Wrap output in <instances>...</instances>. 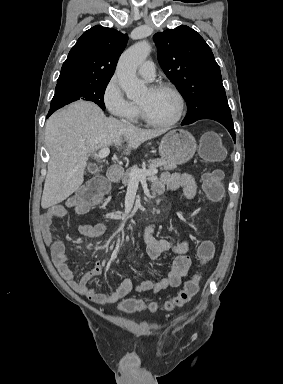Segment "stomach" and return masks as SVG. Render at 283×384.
Returning a JSON list of instances; mask_svg holds the SVG:
<instances>
[{"label":"stomach","instance_id":"1","mask_svg":"<svg viewBox=\"0 0 283 384\" xmlns=\"http://www.w3.org/2000/svg\"><path fill=\"white\" fill-rule=\"evenodd\" d=\"M197 144L194 136L185 130H171L163 136L159 154L162 160L171 164H186L193 158Z\"/></svg>","mask_w":283,"mask_h":384}]
</instances>
